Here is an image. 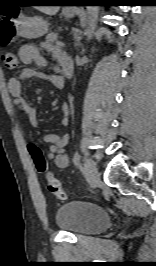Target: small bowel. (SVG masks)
I'll return each instance as SVG.
<instances>
[{
  "instance_id": "1",
  "label": "small bowel",
  "mask_w": 156,
  "mask_h": 266,
  "mask_svg": "<svg viewBox=\"0 0 156 266\" xmlns=\"http://www.w3.org/2000/svg\"><path fill=\"white\" fill-rule=\"evenodd\" d=\"M53 56L58 60L59 65L62 67V61L67 58L66 55L53 50ZM19 57L21 61L25 64H37L40 66H46L47 62L41 55L39 49L32 44H25L19 48ZM42 77L49 79L56 87L60 88L63 86V80L58 75L46 76L43 73L37 72L31 67H26L21 70V72L10 79L8 84V89L13 97L14 105L27 115L28 122L37 127L39 122L37 119V114L34 108H32L26 101L23 94V82L27 80H33L34 78ZM63 118L61 124L67 127L70 123V113L67 105L62 106ZM46 143L50 144L49 150L47 152V158L53 160L58 168H66L69 164V157L66 153V146L69 143L70 137L68 134L59 136L57 134H46L43 137Z\"/></svg>"
}]
</instances>
